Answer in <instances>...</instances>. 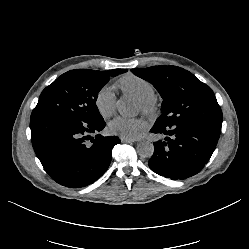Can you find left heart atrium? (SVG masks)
Wrapping results in <instances>:
<instances>
[{
	"instance_id": "left-heart-atrium-1",
	"label": "left heart atrium",
	"mask_w": 249,
	"mask_h": 249,
	"mask_svg": "<svg viewBox=\"0 0 249 249\" xmlns=\"http://www.w3.org/2000/svg\"><path fill=\"white\" fill-rule=\"evenodd\" d=\"M144 128L141 118H130L122 115L114 117L108 125L110 133L127 138L137 137Z\"/></svg>"
}]
</instances>
